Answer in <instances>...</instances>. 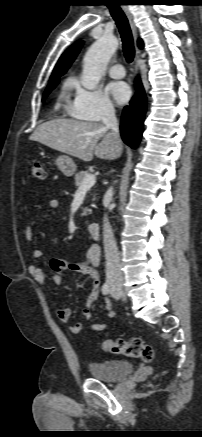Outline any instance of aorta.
Listing matches in <instances>:
<instances>
[{"instance_id":"1","label":"aorta","mask_w":202,"mask_h":437,"mask_svg":"<svg viewBox=\"0 0 202 437\" xmlns=\"http://www.w3.org/2000/svg\"><path fill=\"white\" fill-rule=\"evenodd\" d=\"M118 48L114 36L104 35L88 49L84 61L81 83L88 90H94L105 73L107 64Z\"/></svg>"}]
</instances>
